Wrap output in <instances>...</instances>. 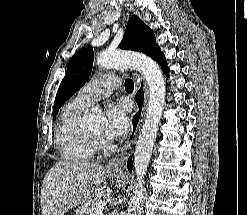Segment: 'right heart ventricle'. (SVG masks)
<instances>
[{
    "mask_svg": "<svg viewBox=\"0 0 247 215\" xmlns=\"http://www.w3.org/2000/svg\"><path fill=\"white\" fill-rule=\"evenodd\" d=\"M86 108L72 100L65 105L61 113L55 139L57 148L65 161L87 162L96 152L95 142L79 124Z\"/></svg>",
    "mask_w": 247,
    "mask_h": 215,
    "instance_id": "right-heart-ventricle-1",
    "label": "right heart ventricle"
}]
</instances>
